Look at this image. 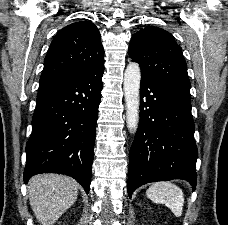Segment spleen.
Masks as SVG:
<instances>
[{"label": "spleen", "instance_id": "spleen-1", "mask_svg": "<svg viewBox=\"0 0 228 225\" xmlns=\"http://www.w3.org/2000/svg\"><path fill=\"white\" fill-rule=\"evenodd\" d=\"M146 195L152 203L166 205L175 217H181L184 207V195L182 189L172 183H154L146 191Z\"/></svg>", "mask_w": 228, "mask_h": 225}]
</instances>
